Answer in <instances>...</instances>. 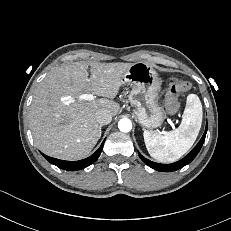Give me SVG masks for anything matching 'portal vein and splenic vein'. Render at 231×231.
<instances>
[{"label": "portal vein and splenic vein", "mask_w": 231, "mask_h": 231, "mask_svg": "<svg viewBox=\"0 0 231 231\" xmlns=\"http://www.w3.org/2000/svg\"><path fill=\"white\" fill-rule=\"evenodd\" d=\"M95 96L93 94H81L79 96L80 100H87V101H92L94 100Z\"/></svg>", "instance_id": "obj_1"}]
</instances>
